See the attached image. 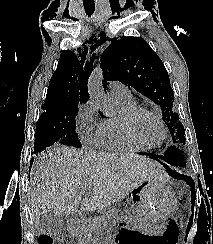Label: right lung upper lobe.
<instances>
[{
  "instance_id": "right-lung-upper-lobe-1",
  "label": "right lung upper lobe",
  "mask_w": 213,
  "mask_h": 244,
  "mask_svg": "<svg viewBox=\"0 0 213 244\" xmlns=\"http://www.w3.org/2000/svg\"><path fill=\"white\" fill-rule=\"evenodd\" d=\"M81 57L78 59L70 50L61 53L57 69L50 80L45 104L86 103L89 98L87 81L93 61Z\"/></svg>"
}]
</instances>
